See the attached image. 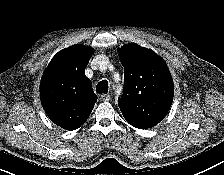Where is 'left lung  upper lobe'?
Wrapping results in <instances>:
<instances>
[{
	"instance_id": "5c2ea615",
	"label": "left lung upper lobe",
	"mask_w": 224,
	"mask_h": 175,
	"mask_svg": "<svg viewBox=\"0 0 224 175\" xmlns=\"http://www.w3.org/2000/svg\"><path fill=\"white\" fill-rule=\"evenodd\" d=\"M119 58L124 67V90L118 105L125 120L139 129L154 127L173 101V82L165 62L137 44L121 47Z\"/></svg>"
}]
</instances>
